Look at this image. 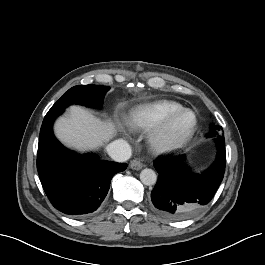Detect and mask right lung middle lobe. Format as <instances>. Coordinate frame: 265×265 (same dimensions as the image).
I'll return each mask as SVG.
<instances>
[{
	"label": "right lung middle lobe",
	"mask_w": 265,
	"mask_h": 265,
	"mask_svg": "<svg viewBox=\"0 0 265 265\" xmlns=\"http://www.w3.org/2000/svg\"><path fill=\"white\" fill-rule=\"evenodd\" d=\"M110 87L100 85H77L69 89L50 110L65 109L71 104L98 107Z\"/></svg>",
	"instance_id": "dd1d6c3e"
}]
</instances>
